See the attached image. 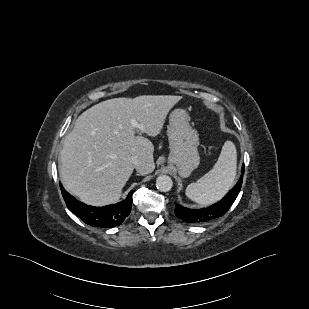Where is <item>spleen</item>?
Masks as SVG:
<instances>
[{
    "instance_id": "spleen-1",
    "label": "spleen",
    "mask_w": 309,
    "mask_h": 309,
    "mask_svg": "<svg viewBox=\"0 0 309 309\" xmlns=\"http://www.w3.org/2000/svg\"><path fill=\"white\" fill-rule=\"evenodd\" d=\"M237 152L233 142L226 141L214 167L186 188V196L202 205L220 200L232 187L236 176Z\"/></svg>"
}]
</instances>
